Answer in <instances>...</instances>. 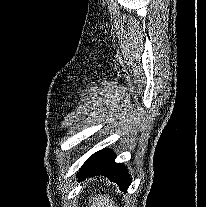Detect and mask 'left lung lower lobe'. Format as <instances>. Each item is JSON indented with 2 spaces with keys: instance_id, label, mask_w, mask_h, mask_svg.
<instances>
[{
  "instance_id": "0a47b994",
  "label": "left lung lower lobe",
  "mask_w": 206,
  "mask_h": 207,
  "mask_svg": "<svg viewBox=\"0 0 206 207\" xmlns=\"http://www.w3.org/2000/svg\"><path fill=\"white\" fill-rule=\"evenodd\" d=\"M116 155L111 150H100L92 154L79 172V181L89 176L104 175L118 184L119 188L127 191L131 180L126 167L115 163Z\"/></svg>"
}]
</instances>
